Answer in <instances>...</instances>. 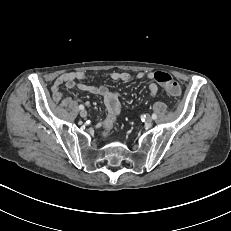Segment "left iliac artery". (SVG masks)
Wrapping results in <instances>:
<instances>
[{
    "instance_id": "44dca946",
    "label": "left iliac artery",
    "mask_w": 231,
    "mask_h": 231,
    "mask_svg": "<svg viewBox=\"0 0 231 231\" xmlns=\"http://www.w3.org/2000/svg\"><path fill=\"white\" fill-rule=\"evenodd\" d=\"M157 118V115L155 113L152 114V119H156Z\"/></svg>"
}]
</instances>
